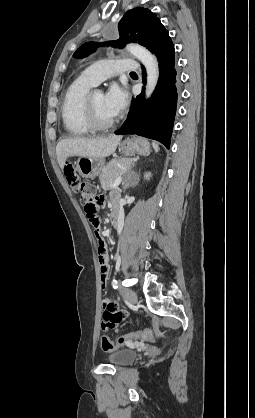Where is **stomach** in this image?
Returning a JSON list of instances; mask_svg holds the SVG:
<instances>
[{
  "mask_svg": "<svg viewBox=\"0 0 255 418\" xmlns=\"http://www.w3.org/2000/svg\"><path fill=\"white\" fill-rule=\"evenodd\" d=\"M119 148L126 156L146 155L150 151V144L143 138H128L120 143ZM104 165V158L80 157L76 164V170L83 178L93 179L99 175Z\"/></svg>",
  "mask_w": 255,
  "mask_h": 418,
  "instance_id": "stomach-1",
  "label": "stomach"
}]
</instances>
